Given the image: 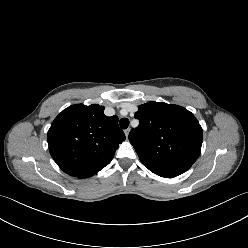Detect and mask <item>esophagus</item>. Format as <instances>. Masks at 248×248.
<instances>
[{
  "instance_id": "obj_1",
  "label": "esophagus",
  "mask_w": 248,
  "mask_h": 248,
  "mask_svg": "<svg viewBox=\"0 0 248 248\" xmlns=\"http://www.w3.org/2000/svg\"><path fill=\"white\" fill-rule=\"evenodd\" d=\"M129 132H130V128H127V129L124 130V133H125L126 137H128Z\"/></svg>"
}]
</instances>
